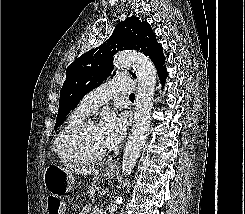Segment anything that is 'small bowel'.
<instances>
[{
  "label": "small bowel",
  "instance_id": "small-bowel-1",
  "mask_svg": "<svg viewBox=\"0 0 245 214\" xmlns=\"http://www.w3.org/2000/svg\"><path fill=\"white\" fill-rule=\"evenodd\" d=\"M83 214H104V213L99 208H90L89 206H86L84 208V213Z\"/></svg>",
  "mask_w": 245,
  "mask_h": 214
}]
</instances>
